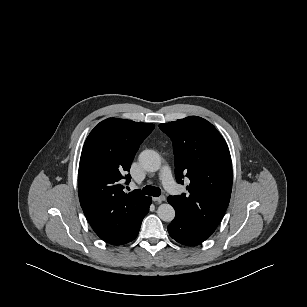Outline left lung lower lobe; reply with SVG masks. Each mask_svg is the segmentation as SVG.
<instances>
[{"mask_svg": "<svg viewBox=\"0 0 307 307\" xmlns=\"http://www.w3.org/2000/svg\"><path fill=\"white\" fill-rule=\"evenodd\" d=\"M168 232L178 243L187 246L198 245L211 235L192 224L178 211H176L174 220L168 226Z\"/></svg>", "mask_w": 307, "mask_h": 307, "instance_id": "obj_1", "label": "left lung lower lobe"}]
</instances>
